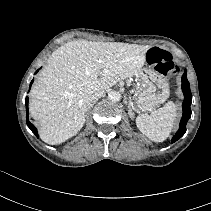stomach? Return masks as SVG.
<instances>
[{
    "label": "stomach",
    "instance_id": "0dacf381",
    "mask_svg": "<svg viewBox=\"0 0 211 211\" xmlns=\"http://www.w3.org/2000/svg\"><path fill=\"white\" fill-rule=\"evenodd\" d=\"M138 77L142 81L136 101L139 110L143 112L152 111L168 99L170 90L164 75L147 66L139 71Z\"/></svg>",
    "mask_w": 211,
    "mask_h": 211
}]
</instances>
